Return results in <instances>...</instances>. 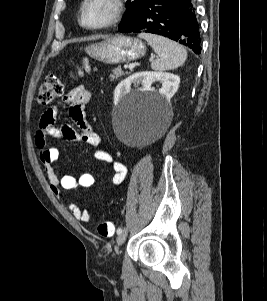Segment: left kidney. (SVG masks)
I'll list each match as a JSON object with an SVG mask.
<instances>
[{
	"mask_svg": "<svg viewBox=\"0 0 267 301\" xmlns=\"http://www.w3.org/2000/svg\"><path fill=\"white\" fill-rule=\"evenodd\" d=\"M156 81H160L162 83V87L159 89V94L162 97H165L167 101H170L178 90L180 77L167 72L146 71L135 73L121 81L115 88L114 102L118 103L122 97L129 93L132 83H141L143 86L142 91H150L152 83Z\"/></svg>",
	"mask_w": 267,
	"mask_h": 301,
	"instance_id": "left-kidney-1",
	"label": "left kidney"
}]
</instances>
